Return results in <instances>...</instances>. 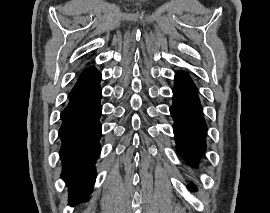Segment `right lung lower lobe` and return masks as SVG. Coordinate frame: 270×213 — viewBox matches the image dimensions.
I'll return each instance as SVG.
<instances>
[{
	"instance_id": "98d812e1",
	"label": "right lung lower lobe",
	"mask_w": 270,
	"mask_h": 213,
	"mask_svg": "<svg viewBox=\"0 0 270 213\" xmlns=\"http://www.w3.org/2000/svg\"><path fill=\"white\" fill-rule=\"evenodd\" d=\"M102 76L95 68L85 69L69 95L61 113V177L70 186L69 204L88 200L96 179L95 162L100 154L99 122Z\"/></svg>"
}]
</instances>
